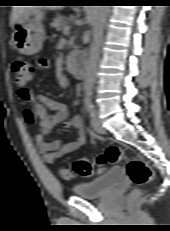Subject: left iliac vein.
Segmentation results:
<instances>
[{
	"label": "left iliac vein",
	"mask_w": 170,
	"mask_h": 231,
	"mask_svg": "<svg viewBox=\"0 0 170 231\" xmlns=\"http://www.w3.org/2000/svg\"><path fill=\"white\" fill-rule=\"evenodd\" d=\"M91 124L92 127L94 129L95 132L99 133V134H104L105 133V129L103 128L100 119L98 117L97 114H95L94 116H92L91 118Z\"/></svg>",
	"instance_id": "1"
}]
</instances>
